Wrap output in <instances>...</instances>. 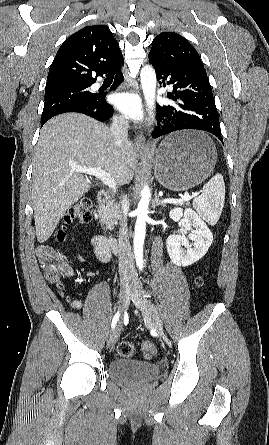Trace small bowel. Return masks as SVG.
<instances>
[{"mask_svg": "<svg viewBox=\"0 0 269 445\" xmlns=\"http://www.w3.org/2000/svg\"><path fill=\"white\" fill-rule=\"evenodd\" d=\"M92 245L94 247L96 259L99 262L106 263L110 260L111 252L106 245V241H105L104 237H102L100 235L95 236L92 239ZM77 257L80 262H82V263L86 262V257L84 255L78 254ZM66 272L68 274L71 273L69 268L66 269ZM71 306L76 310H80L82 307L81 302L79 300H72Z\"/></svg>", "mask_w": 269, "mask_h": 445, "instance_id": "obj_1", "label": "small bowel"}]
</instances>
